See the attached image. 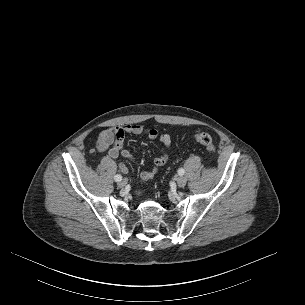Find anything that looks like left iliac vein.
Returning a JSON list of instances; mask_svg holds the SVG:
<instances>
[{"instance_id": "4c4485c4", "label": "left iliac vein", "mask_w": 305, "mask_h": 305, "mask_svg": "<svg viewBox=\"0 0 305 305\" xmlns=\"http://www.w3.org/2000/svg\"><path fill=\"white\" fill-rule=\"evenodd\" d=\"M176 183L178 187H184L187 183V180L184 176L181 175L176 179Z\"/></svg>"}]
</instances>
